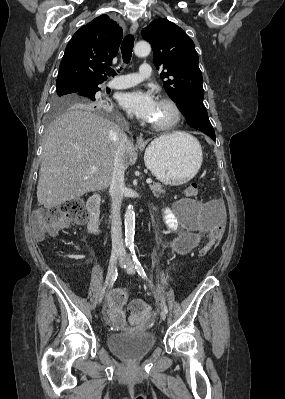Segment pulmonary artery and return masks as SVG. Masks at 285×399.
<instances>
[{
	"instance_id": "obj_1",
	"label": "pulmonary artery",
	"mask_w": 285,
	"mask_h": 399,
	"mask_svg": "<svg viewBox=\"0 0 285 399\" xmlns=\"http://www.w3.org/2000/svg\"><path fill=\"white\" fill-rule=\"evenodd\" d=\"M152 72L149 63H142L136 73H123L115 80L110 81L106 86L113 89H124L140 83L143 79L151 77Z\"/></svg>"
}]
</instances>
